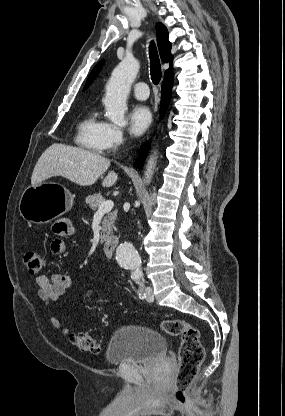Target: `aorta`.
<instances>
[{"instance_id":"762f6f07","label":"aorta","mask_w":285,"mask_h":416,"mask_svg":"<svg viewBox=\"0 0 285 416\" xmlns=\"http://www.w3.org/2000/svg\"><path fill=\"white\" fill-rule=\"evenodd\" d=\"M139 71V62L133 56L125 57L113 70L106 85L104 105L107 117L116 125L125 124L127 97L130 87ZM155 157H151L147 164L144 182L150 183L155 169ZM116 259L120 266L132 271L134 275H142L141 257L132 243L120 244L116 250Z\"/></svg>"}]
</instances>
